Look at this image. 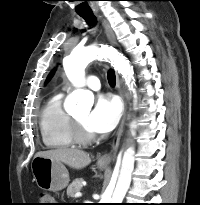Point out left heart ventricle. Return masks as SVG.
I'll return each instance as SVG.
<instances>
[{
  "label": "left heart ventricle",
  "instance_id": "obj_1",
  "mask_svg": "<svg viewBox=\"0 0 200 205\" xmlns=\"http://www.w3.org/2000/svg\"><path fill=\"white\" fill-rule=\"evenodd\" d=\"M89 113L88 111H83V112H80L78 114H76L74 116V118L82 125V127L84 128V130L89 133V134H93L87 127L86 125V119L88 117Z\"/></svg>",
  "mask_w": 200,
  "mask_h": 205
}]
</instances>
